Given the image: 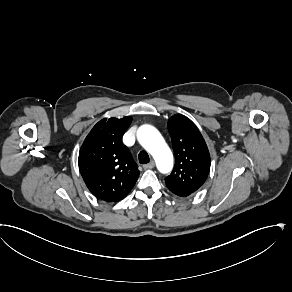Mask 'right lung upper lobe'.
I'll return each mask as SVG.
<instances>
[{"label": "right lung upper lobe", "instance_id": "right-lung-upper-lobe-1", "mask_svg": "<svg viewBox=\"0 0 292 292\" xmlns=\"http://www.w3.org/2000/svg\"><path fill=\"white\" fill-rule=\"evenodd\" d=\"M132 117L100 120L79 151V170L90 192L98 199L116 202L128 195L138 177V166L122 136Z\"/></svg>", "mask_w": 292, "mask_h": 292}]
</instances>
